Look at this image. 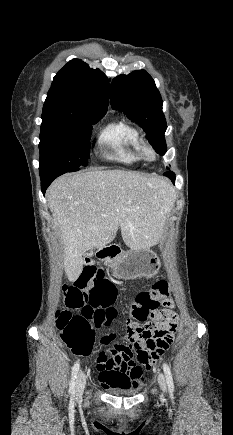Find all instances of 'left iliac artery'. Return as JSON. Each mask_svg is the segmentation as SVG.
Returning a JSON list of instances; mask_svg holds the SVG:
<instances>
[{
  "label": "left iliac artery",
  "mask_w": 233,
  "mask_h": 435,
  "mask_svg": "<svg viewBox=\"0 0 233 435\" xmlns=\"http://www.w3.org/2000/svg\"><path fill=\"white\" fill-rule=\"evenodd\" d=\"M163 370H164V373H165L168 389H169L170 392H172L174 390V382H173L171 370H170L169 366L166 363L163 364Z\"/></svg>",
  "instance_id": "left-iliac-artery-1"
}]
</instances>
